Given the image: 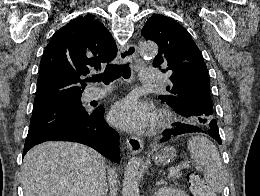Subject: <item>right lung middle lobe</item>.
Segmentation results:
<instances>
[{"mask_svg":"<svg viewBox=\"0 0 260 196\" xmlns=\"http://www.w3.org/2000/svg\"><path fill=\"white\" fill-rule=\"evenodd\" d=\"M90 114L91 112L86 111L82 106L81 96L33 105V113L27 136L80 123L85 121Z\"/></svg>","mask_w":260,"mask_h":196,"instance_id":"dd1d6c3e","label":"right lung middle lobe"}]
</instances>
